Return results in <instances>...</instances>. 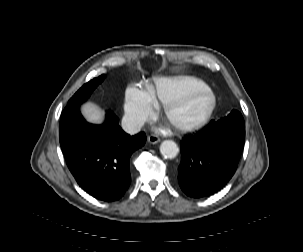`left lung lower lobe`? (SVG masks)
<instances>
[{"mask_svg":"<svg viewBox=\"0 0 303 252\" xmlns=\"http://www.w3.org/2000/svg\"><path fill=\"white\" fill-rule=\"evenodd\" d=\"M245 141V128L204 129L180 142L178 182L190 197L219 191L237 169Z\"/></svg>","mask_w":303,"mask_h":252,"instance_id":"obj_1","label":"left lung lower lobe"}]
</instances>
